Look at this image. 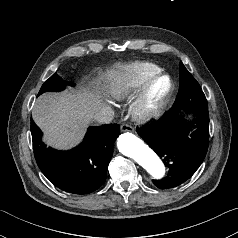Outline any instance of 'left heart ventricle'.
I'll return each instance as SVG.
<instances>
[{
  "instance_id": "1",
  "label": "left heart ventricle",
  "mask_w": 238,
  "mask_h": 238,
  "mask_svg": "<svg viewBox=\"0 0 238 238\" xmlns=\"http://www.w3.org/2000/svg\"><path fill=\"white\" fill-rule=\"evenodd\" d=\"M165 88V82L164 81H160L156 84V86L153 89V97H157L158 95H160L162 93V91Z\"/></svg>"
}]
</instances>
